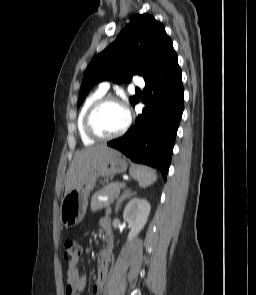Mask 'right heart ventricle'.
Listing matches in <instances>:
<instances>
[{"mask_svg": "<svg viewBox=\"0 0 256 295\" xmlns=\"http://www.w3.org/2000/svg\"><path fill=\"white\" fill-rule=\"evenodd\" d=\"M104 92L101 91L100 89H97L95 91H93L92 93H90L87 98L85 99L79 116H78V121H77V127H78V131H79V135L80 138L83 142L84 145L90 146L93 145L95 143V140L91 139L85 132L84 130V118H85V114L87 112V110L89 109V107L100 97L104 96Z\"/></svg>", "mask_w": 256, "mask_h": 295, "instance_id": "1", "label": "right heart ventricle"}]
</instances>
